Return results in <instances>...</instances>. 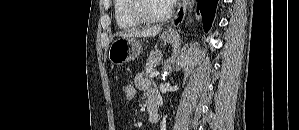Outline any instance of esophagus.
Wrapping results in <instances>:
<instances>
[{
	"label": "esophagus",
	"instance_id": "1",
	"mask_svg": "<svg viewBox=\"0 0 299 130\" xmlns=\"http://www.w3.org/2000/svg\"><path fill=\"white\" fill-rule=\"evenodd\" d=\"M189 2H190L189 0H183L181 2L179 9L177 11V15L175 19L172 21L169 32L172 30V28L178 27L183 22Z\"/></svg>",
	"mask_w": 299,
	"mask_h": 130
}]
</instances>
